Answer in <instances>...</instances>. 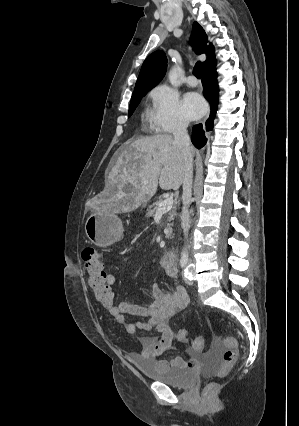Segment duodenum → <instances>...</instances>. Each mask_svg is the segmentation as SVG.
Masks as SVG:
<instances>
[{"instance_id": "obj_1", "label": "duodenum", "mask_w": 299, "mask_h": 426, "mask_svg": "<svg viewBox=\"0 0 299 426\" xmlns=\"http://www.w3.org/2000/svg\"><path fill=\"white\" fill-rule=\"evenodd\" d=\"M177 260V253L175 250H168L165 252L162 261L166 264L175 263Z\"/></svg>"}]
</instances>
